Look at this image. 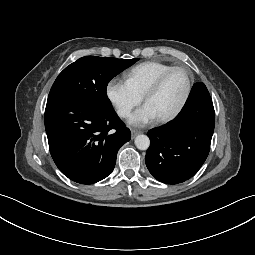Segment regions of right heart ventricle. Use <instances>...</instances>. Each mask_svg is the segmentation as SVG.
Wrapping results in <instances>:
<instances>
[{"label": "right heart ventricle", "instance_id": "obj_1", "mask_svg": "<svg viewBox=\"0 0 255 255\" xmlns=\"http://www.w3.org/2000/svg\"><path fill=\"white\" fill-rule=\"evenodd\" d=\"M173 67L158 61H147L136 65L126 75L127 82L142 96L155 80L166 70Z\"/></svg>", "mask_w": 255, "mask_h": 255}]
</instances>
